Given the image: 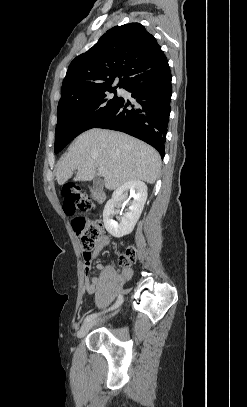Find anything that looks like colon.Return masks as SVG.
Returning <instances> with one entry per match:
<instances>
[{"label":"colon","instance_id":"1","mask_svg":"<svg viewBox=\"0 0 247 407\" xmlns=\"http://www.w3.org/2000/svg\"><path fill=\"white\" fill-rule=\"evenodd\" d=\"M61 193L63 210L67 215H74L77 211H87L92 207L90 197L76 184L64 185ZM72 226L78 237L83 256H89L103 235L102 223L84 217H76L72 220ZM136 256V250L130 247L120 255L119 263L121 266L127 267Z\"/></svg>","mask_w":247,"mask_h":407}]
</instances>
